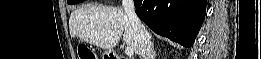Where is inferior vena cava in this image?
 <instances>
[{"instance_id":"obj_1","label":"inferior vena cava","mask_w":261,"mask_h":59,"mask_svg":"<svg viewBox=\"0 0 261 59\" xmlns=\"http://www.w3.org/2000/svg\"><path fill=\"white\" fill-rule=\"evenodd\" d=\"M122 7L136 33L140 59H151V35L136 15L134 1L122 0Z\"/></svg>"}]
</instances>
